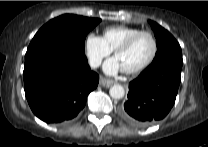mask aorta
<instances>
[{
	"instance_id": "762f6f07",
	"label": "aorta",
	"mask_w": 208,
	"mask_h": 147,
	"mask_svg": "<svg viewBox=\"0 0 208 147\" xmlns=\"http://www.w3.org/2000/svg\"><path fill=\"white\" fill-rule=\"evenodd\" d=\"M109 94L113 99H121L124 97L125 90L121 85L115 84L111 86Z\"/></svg>"
}]
</instances>
